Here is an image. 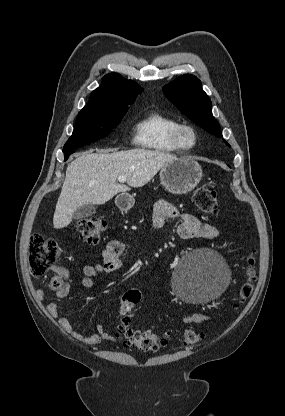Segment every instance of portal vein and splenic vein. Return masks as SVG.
<instances>
[{
	"mask_svg": "<svg viewBox=\"0 0 285 416\" xmlns=\"http://www.w3.org/2000/svg\"><path fill=\"white\" fill-rule=\"evenodd\" d=\"M126 180H127V176H118V182H120V184H124Z\"/></svg>",
	"mask_w": 285,
	"mask_h": 416,
	"instance_id": "obj_1",
	"label": "portal vein and splenic vein"
}]
</instances>
